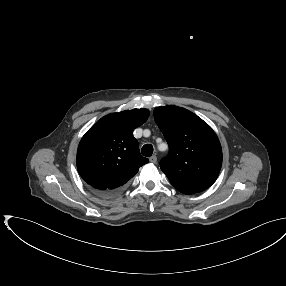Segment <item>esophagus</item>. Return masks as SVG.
Instances as JSON below:
<instances>
[{
  "label": "esophagus",
  "instance_id": "obj_1",
  "mask_svg": "<svg viewBox=\"0 0 286 286\" xmlns=\"http://www.w3.org/2000/svg\"><path fill=\"white\" fill-rule=\"evenodd\" d=\"M149 161H150L151 163H153V164H156V162H157V157H156L155 155H153V156H151V157L149 158Z\"/></svg>",
  "mask_w": 286,
  "mask_h": 286
}]
</instances>
